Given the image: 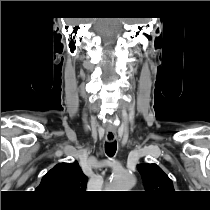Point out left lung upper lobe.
Segmentation results:
<instances>
[{
    "instance_id": "left-lung-upper-lobe-1",
    "label": "left lung upper lobe",
    "mask_w": 210,
    "mask_h": 210,
    "mask_svg": "<svg viewBox=\"0 0 210 210\" xmlns=\"http://www.w3.org/2000/svg\"><path fill=\"white\" fill-rule=\"evenodd\" d=\"M147 193H167L174 190L171 179L156 164L137 166Z\"/></svg>"
}]
</instances>
